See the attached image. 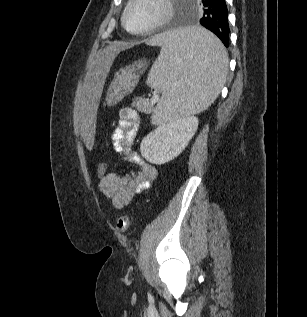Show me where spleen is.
Returning <instances> with one entry per match:
<instances>
[{"label":"spleen","instance_id":"1","mask_svg":"<svg viewBox=\"0 0 307 317\" xmlns=\"http://www.w3.org/2000/svg\"><path fill=\"white\" fill-rule=\"evenodd\" d=\"M143 47H161L147 79L163 99L154 124L206 110L219 95L228 73V55L221 41L206 26H175L151 33Z\"/></svg>","mask_w":307,"mask_h":317}]
</instances>
